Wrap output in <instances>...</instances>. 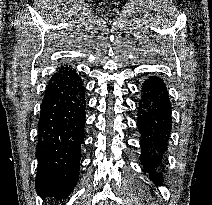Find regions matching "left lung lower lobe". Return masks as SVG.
Instances as JSON below:
<instances>
[{
  "mask_svg": "<svg viewBox=\"0 0 212 205\" xmlns=\"http://www.w3.org/2000/svg\"><path fill=\"white\" fill-rule=\"evenodd\" d=\"M138 106L137 125L141 133V163L144 172L150 174L155 183L162 180L156 169L161 165L168 148L171 132V104L164 81L151 76L142 84Z\"/></svg>",
  "mask_w": 212,
  "mask_h": 205,
  "instance_id": "1",
  "label": "left lung lower lobe"
}]
</instances>
